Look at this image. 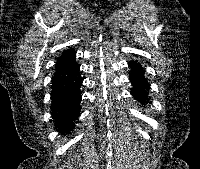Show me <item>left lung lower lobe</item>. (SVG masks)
Listing matches in <instances>:
<instances>
[{
    "label": "left lung lower lobe",
    "mask_w": 200,
    "mask_h": 169,
    "mask_svg": "<svg viewBox=\"0 0 200 169\" xmlns=\"http://www.w3.org/2000/svg\"><path fill=\"white\" fill-rule=\"evenodd\" d=\"M132 71L130 81L134 84L131 94L138 99L142 104L148 102L147 90L149 84L144 77L143 68L137 62L131 61L128 63Z\"/></svg>",
    "instance_id": "1"
}]
</instances>
